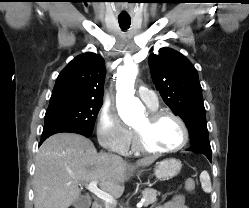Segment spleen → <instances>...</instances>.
<instances>
[{"mask_svg": "<svg viewBox=\"0 0 249 208\" xmlns=\"http://www.w3.org/2000/svg\"><path fill=\"white\" fill-rule=\"evenodd\" d=\"M201 186L204 192L210 193L212 191L210 176L207 171H202L200 174Z\"/></svg>", "mask_w": 249, "mask_h": 208, "instance_id": "obj_1", "label": "spleen"}]
</instances>
